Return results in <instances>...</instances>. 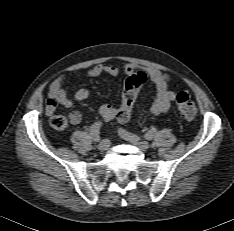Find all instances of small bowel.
<instances>
[{
    "instance_id": "small-bowel-1",
    "label": "small bowel",
    "mask_w": 234,
    "mask_h": 231,
    "mask_svg": "<svg viewBox=\"0 0 234 231\" xmlns=\"http://www.w3.org/2000/svg\"><path fill=\"white\" fill-rule=\"evenodd\" d=\"M137 69L138 66L132 63H126L121 67L98 64L86 71L84 76L96 78L103 74H108L112 77H117L121 72L129 75ZM147 73L155 87V96L149 109V115L157 116L166 113L176 99L175 87L171 84V77L155 68L147 69ZM67 81V77H59L50 84L45 106L48 115L54 114L57 105L69 108L75 101H83L91 96L88 88H80L70 97L64 88ZM99 114L104 122H112L117 118L118 109L110 104H102L99 107ZM69 118L71 123L78 124L82 119V115L79 111H74L69 115Z\"/></svg>"
}]
</instances>
